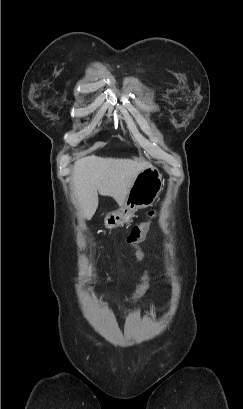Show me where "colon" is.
<instances>
[{"instance_id":"1","label":"colon","mask_w":243,"mask_h":409,"mask_svg":"<svg viewBox=\"0 0 243 409\" xmlns=\"http://www.w3.org/2000/svg\"><path fill=\"white\" fill-rule=\"evenodd\" d=\"M156 218V211L151 210L149 212V216L147 221L142 222L139 225L134 226L130 233L128 234L126 238V242L128 245L132 246L135 249V252L138 256H141V250L139 248V242L143 236V234L149 229V227L152 225L154 219ZM145 288L144 287H139L137 289L136 295L134 296L135 298H138L140 295L144 293Z\"/></svg>"}]
</instances>
